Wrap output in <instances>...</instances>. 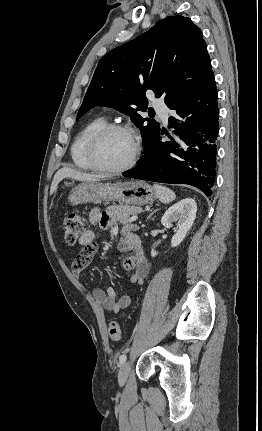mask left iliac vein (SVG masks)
I'll return each instance as SVG.
<instances>
[{
	"mask_svg": "<svg viewBox=\"0 0 262 431\" xmlns=\"http://www.w3.org/2000/svg\"><path fill=\"white\" fill-rule=\"evenodd\" d=\"M129 369H130V365H129V363H128V362H125V363L121 366V368L119 369V372H118V379H119V383H120L121 385H123V384L126 382V380H127V378H128V374H129Z\"/></svg>",
	"mask_w": 262,
	"mask_h": 431,
	"instance_id": "obj_1",
	"label": "left iliac vein"
}]
</instances>
